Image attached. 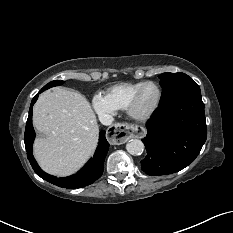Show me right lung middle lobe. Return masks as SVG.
<instances>
[{
    "label": "right lung middle lobe",
    "instance_id": "obj_1",
    "mask_svg": "<svg viewBox=\"0 0 233 233\" xmlns=\"http://www.w3.org/2000/svg\"><path fill=\"white\" fill-rule=\"evenodd\" d=\"M63 82L64 81L54 80V81L48 83L47 85H45L41 90L45 91L46 89H49L51 87L61 85V84H63Z\"/></svg>",
    "mask_w": 233,
    "mask_h": 233
}]
</instances>
